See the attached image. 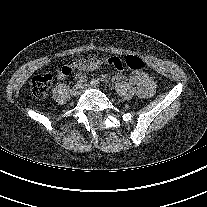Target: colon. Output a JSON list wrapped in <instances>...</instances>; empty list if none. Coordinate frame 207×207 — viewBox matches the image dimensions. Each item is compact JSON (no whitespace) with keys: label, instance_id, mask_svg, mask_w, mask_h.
Returning <instances> with one entry per match:
<instances>
[{"label":"colon","instance_id":"1","mask_svg":"<svg viewBox=\"0 0 207 207\" xmlns=\"http://www.w3.org/2000/svg\"><path fill=\"white\" fill-rule=\"evenodd\" d=\"M95 59H96L95 57L90 56V57L83 58L80 61L89 62ZM75 63H74V66H75ZM124 63L126 67L133 72H142L146 69L145 62L137 56H133V55L126 56ZM61 70L65 72L69 71L70 73L71 66L65 65L61 68ZM52 81H53V74L51 72H44V73L35 75L30 82V90H31L32 95L37 99H43L47 95Z\"/></svg>","mask_w":207,"mask_h":207}]
</instances>
